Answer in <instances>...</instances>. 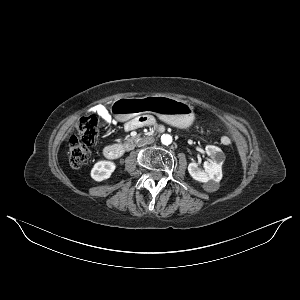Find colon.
<instances>
[{
    "label": "colon",
    "mask_w": 300,
    "mask_h": 300,
    "mask_svg": "<svg viewBox=\"0 0 300 300\" xmlns=\"http://www.w3.org/2000/svg\"><path fill=\"white\" fill-rule=\"evenodd\" d=\"M77 130L78 136H71L68 143L69 162L73 168H80L89 160L90 148L100 138L99 124L95 116H89L80 121Z\"/></svg>",
    "instance_id": "obj_1"
}]
</instances>
